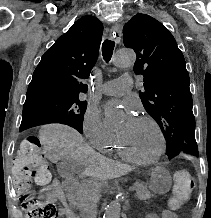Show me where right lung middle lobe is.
<instances>
[{
  "mask_svg": "<svg viewBox=\"0 0 211 218\" xmlns=\"http://www.w3.org/2000/svg\"><path fill=\"white\" fill-rule=\"evenodd\" d=\"M87 103L78 97H50L25 102L20 130L46 123L67 124L80 133Z\"/></svg>",
  "mask_w": 211,
  "mask_h": 218,
  "instance_id": "obj_1",
  "label": "right lung middle lobe"
}]
</instances>
